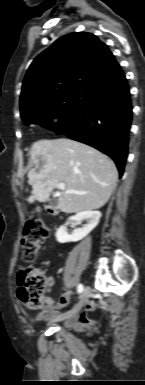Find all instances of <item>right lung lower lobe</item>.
Wrapping results in <instances>:
<instances>
[{"label":"right lung lower lobe","instance_id":"right-lung-lower-lobe-1","mask_svg":"<svg viewBox=\"0 0 145 385\" xmlns=\"http://www.w3.org/2000/svg\"><path fill=\"white\" fill-rule=\"evenodd\" d=\"M132 103L124 74L95 89L85 106L55 130L110 156L122 175L128 154Z\"/></svg>","mask_w":145,"mask_h":385}]
</instances>
